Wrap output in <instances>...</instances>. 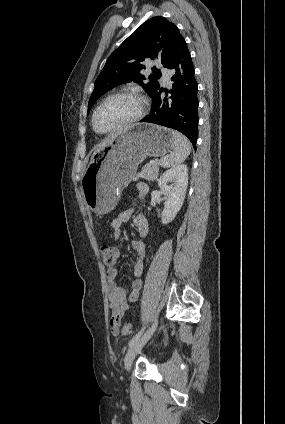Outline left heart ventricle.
<instances>
[{
    "mask_svg": "<svg viewBox=\"0 0 285 424\" xmlns=\"http://www.w3.org/2000/svg\"><path fill=\"white\" fill-rule=\"evenodd\" d=\"M139 101L130 96H119L106 102L98 111L95 118V127L99 131H106L126 122L139 111Z\"/></svg>",
    "mask_w": 285,
    "mask_h": 424,
    "instance_id": "left-heart-ventricle-1",
    "label": "left heart ventricle"
}]
</instances>
